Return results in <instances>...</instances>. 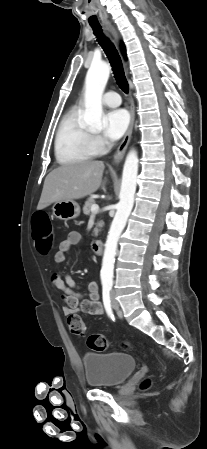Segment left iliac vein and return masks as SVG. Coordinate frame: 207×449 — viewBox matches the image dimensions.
Instances as JSON below:
<instances>
[{"instance_id": "4c4485c4", "label": "left iliac vein", "mask_w": 207, "mask_h": 449, "mask_svg": "<svg viewBox=\"0 0 207 449\" xmlns=\"http://www.w3.org/2000/svg\"><path fill=\"white\" fill-rule=\"evenodd\" d=\"M111 299H112V305H113V307L115 308V309H117L118 308V303H117V301L115 300V297H114V294L112 293V295H111Z\"/></svg>"}]
</instances>
